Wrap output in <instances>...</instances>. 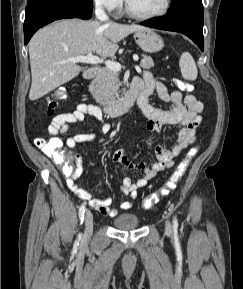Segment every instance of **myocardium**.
<instances>
[{
  "instance_id": "1",
  "label": "myocardium",
  "mask_w": 243,
  "mask_h": 289,
  "mask_svg": "<svg viewBox=\"0 0 243 289\" xmlns=\"http://www.w3.org/2000/svg\"><path fill=\"white\" fill-rule=\"evenodd\" d=\"M171 3H172L171 0H164V5L159 11H157L155 13H151V14H139V13H136L135 11H133L129 6L128 1L125 0L124 11L129 17H131L133 19L150 20V19H155V18H158V17L165 15L169 11V9L171 7Z\"/></svg>"
}]
</instances>
